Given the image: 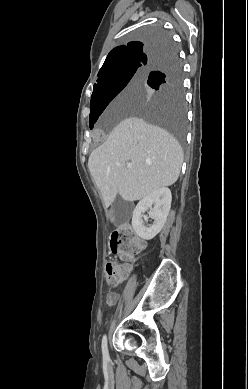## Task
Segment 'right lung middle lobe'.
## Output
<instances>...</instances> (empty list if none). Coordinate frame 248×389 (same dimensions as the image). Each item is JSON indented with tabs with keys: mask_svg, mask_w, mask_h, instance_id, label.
I'll return each mask as SVG.
<instances>
[{
	"mask_svg": "<svg viewBox=\"0 0 248 389\" xmlns=\"http://www.w3.org/2000/svg\"><path fill=\"white\" fill-rule=\"evenodd\" d=\"M142 37L149 43H172L169 36L160 29H148L142 33ZM150 71L163 72L159 78L148 77L147 84L153 89L151 99L145 103L132 101L125 104V108L145 121L168 130L180 143H184L186 110L182 90V66L174 46L146 68H141L140 65L124 67L98 78L90 102V129L107 105L129 82L145 83Z\"/></svg>",
	"mask_w": 248,
	"mask_h": 389,
	"instance_id": "1",
	"label": "right lung middle lobe"
}]
</instances>
